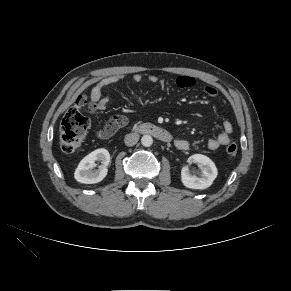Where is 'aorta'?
<instances>
[{
  "label": "aorta",
  "mask_w": 291,
  "mask_h": 291,
  "mask_svg": "<svg viewBox=\"0 0 291 291\" xmlns=\"http://www.w3.org/2000/svg\"><path fill=\"white\" fill-rule=\"evenodd\" d=\"M141 143L145 147H149L153 143V138L150 135H144L141 138Z\"/></svg>",
  "instance_id": "762f6f07"
}]
</instances>
